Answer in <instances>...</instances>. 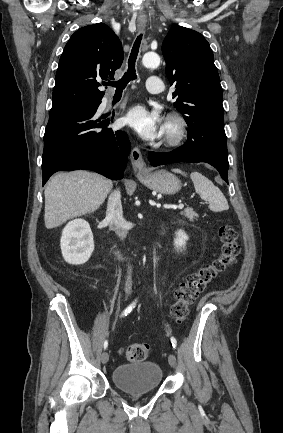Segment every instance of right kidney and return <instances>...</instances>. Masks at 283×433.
<instances>
[{
    "label": "right kidney",
    "mask_w": 283,
    "mask_h": 433,
    "mask_svg": "<svg viewBox=\"0 0 283 433\" xmlns=\"http://www.w3.org/2000/svg\"><path fill=\"white\" fill-rule=\"evenodd\" d=\"M60 246L67 263L81 265L87 262L94 250L89 223L83 219L70 221L63 229Z\"/></svg>",
    "instance_id": "ca27d5eb"
}]
</instances>
